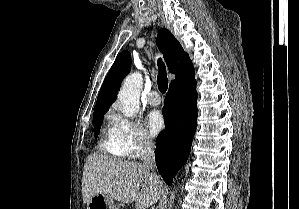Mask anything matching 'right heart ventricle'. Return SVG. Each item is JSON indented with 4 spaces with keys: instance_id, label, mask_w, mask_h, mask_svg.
<instances>
[{
    "instance_id": "obj_1",
    "label": "right heart ventricle",
    "mask_w": 299,
    "mask_h": 209,
    "mask_svg": "<svg viewBox=\"0 0 299 209\" xmlns=\"http://www.w3.org/2000/svg\"><path fill=\"white\" fill-rule=\"evenodd\" d=\"M99 147L104 152L113 155H122L113 138V131L111 127L104 129L102 138L99 143Z\"/></svg>"
}]
</instances>
